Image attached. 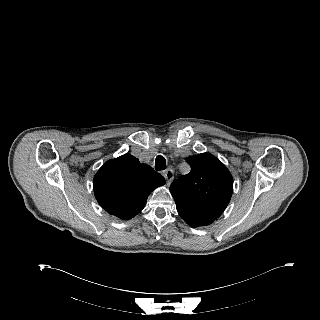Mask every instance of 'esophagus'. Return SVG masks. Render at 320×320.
Masks as SVG:
<instances>
[{
	"label": "esophagus",
	"instance_id": "34e87169",
	"mask_svg": "<svg viewBox=\"0 0 320 320\" xmlns=\"http://www.w3.org/2000/svg\"><path fill=\"white\" fill-rule=\"evenodd\" d=\"M163 176L165 177L166 182L169 185L171 183V181L173 180L174 172L171 169L165 170L163 172Z\"/></svg>",
	"mask_w": 320,
	"mask_h": 320
}]
</instances>
